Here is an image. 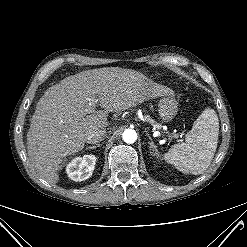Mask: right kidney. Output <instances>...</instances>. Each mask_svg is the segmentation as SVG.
Listing matches in <instances>:
<instances>
[{
  "label": "right kidney",
  "instance_id": "right-kidney-1",
  "mask_svg": "<svg viewBox=\"0 0 247 247\" xmlns=\"http://www.w3.org/2000/svg\"><path fill=\"white\" fill-rule=\"evenodd\" d=\"M94 155L74 158L66 167L68 177L73 181H84L91 177L96 164Z\"/></svg>",
  "mask_w": 247,
  "mask_h": 247
}]
</instances>
